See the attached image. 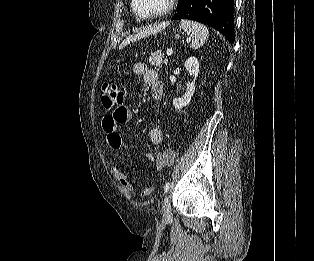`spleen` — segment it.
Instances as JSON below:
<instances>
[{
	"label": "spleen",
	"mask_w": 314,
	"mask_h": 261,
	"mask_svg": "<svg viewBox=\"0 0 314 261\" xmlns=\"http://www.w3.org/2000/svg\"><path fill=\"white\" fill-rule=\"evenodd\" d=\"M180 28L183 29L191 39L190 46L192 49H198L204 45L209 37L208 28L198 22L182 20Z\"/></svg>",
	"instance_id": "3e777b00"
}]
</instances>
